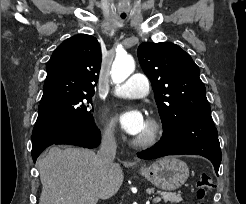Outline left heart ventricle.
<instances>
[{
	"mask_svg": "<svg viewBox=\"0 0 246 204\" xmlns=\"http://www.w3.org/2000/svg\"><path fill=\"white\" fill-rule=\"evenodd\" d=\"M148 129H149V128H148V125H147V123H146L144 129L142 130V132H141L137 137H141V136L146 135L147 132H148Z\"/></svg>",
	"mask_w": 246,
	"mask_h": 204,
	"instance_id": "left-heart-ventricle-1",
	"label": "left heart ventricle"
}]
</instances>
